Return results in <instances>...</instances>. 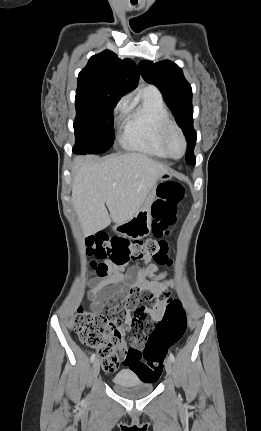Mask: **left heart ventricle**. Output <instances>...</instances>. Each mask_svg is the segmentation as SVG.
Returning <instances> with one entry per match:
<instances>
[{"instance_id":"left-heart-ventricle-1","label":"left heart ventricle","mask_w":261,"mask_h":431,"mask_svg":"<svg viewBox=\"0 0 261 431\" xmlns=\"http://www.w3.org/2000/svg\"><path fill=\"white\" fill-rule=\"evenodd\" d=\"M168 146L170 152L174 156H179L182 153V142L179 135L176 132H171L168 138Z\"/></svg>"}]
</instances>
